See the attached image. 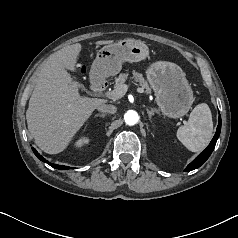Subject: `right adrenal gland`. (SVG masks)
<instances>
[{
    "label": "right adrenal gland",
    "mask_w": 238,
    "mask_h": 238,
    "mask_svg": "<svg viewBox=\"0 0 238 238\" xmlns=\"http://www.w3.org/2000/svg\"><path fill=\"white\" fill-rule=\"evenodd\" d=\"M95 116H96V117H102V118H104V117H105V114H96Z\"/></svg>",
    "instance_id": "obj_1"
}]
</instances>
